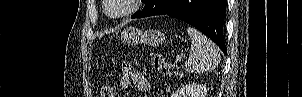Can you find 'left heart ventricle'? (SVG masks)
I'll list each match as a JSON object with an SVG mask.
<instances>
[{"instance_id": "left-heart-ventricle-1", "label": "left heart ventricle", "mask_w": 302, "mask_h": 97, "mask_svg": "<svg viewBox=\"0 0 302 97\" xmlns=\"http://www.w3.org/2000/svg\"><path fill=\"white\" fill-rule=\"evenodd\" d=\"M130 6L129 0H110V11L114 14H120L126 11Z\"/></svg>"}]
</instances>
